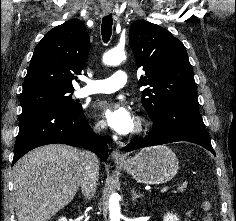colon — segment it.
<instances>
[{"label":"colon","mask_w":236,"mask_h":221,"mask_svg":"<svg viewBox=\"0 0 236 221\" xmlns=\"http://www.w3.org/2000/svg\"><path fill=\"white\" fill-rule=\"evenodd\" d=\"M204 207H205L206 210H209V209H210L209 203H205V204H204ZM205 221H213V218L211 217V215H208V216L205 218Z\"/></svg>","instance_id":"colon-1"}]
</instances>
